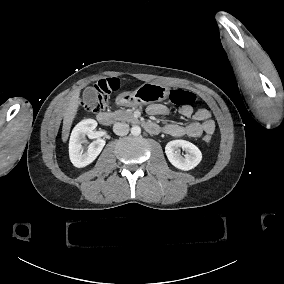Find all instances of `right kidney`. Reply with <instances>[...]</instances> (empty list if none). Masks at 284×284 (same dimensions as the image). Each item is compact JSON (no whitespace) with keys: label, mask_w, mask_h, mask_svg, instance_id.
I'll list each match as a JSON object with an SVG mask.
<instances>
[{"label":"right kidney","mask_w":284,"mask_h":284,"mask_svg":"<svg viewBox=\"0 0 284 284\" xmlns=\"http://www.w3.org/2000/svg\"><path fill=\"white\" fill-rule=\"evenodd\" d=\"M96 127L95 120L85 119L72 130L69 141V157L75 167L82 168L92 163L105 146V140L98 138L88 146L86 152H83L82 143H84L86 135L91 138Z\"/></svg>","instance_id":"ca27d5eb"}]
</instances>
